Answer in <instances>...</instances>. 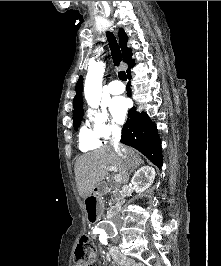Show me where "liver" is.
<instances>
[{
  "label": "liver",
  "mask_w": 221,
  "mask_h": 266,
  "mask_svg": "<svg viewBox=\"0 0 221 266\" xmlns=\"http://www.w3.org/2000/svg\"><path fill=\"white\" fill-rule=\"evenodd\" d=\"M127 159H123L115 150L110 147H103L98 150L80 156L75 163V180L79 195L87 199L89 189H95L108 174L107 167L117 168L121 177L120 184L129 181V171L140 166L142 160L134 150L126 148Z\"/></svg>",
  "instance_id": "6515ba94"
}]
</instances>
